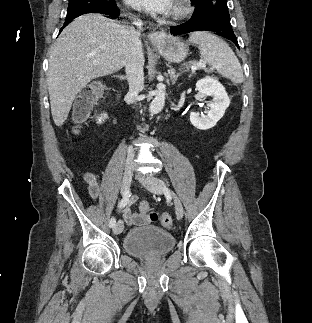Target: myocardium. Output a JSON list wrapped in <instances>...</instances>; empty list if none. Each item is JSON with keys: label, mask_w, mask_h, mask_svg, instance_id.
I'll return each instance as SVG.
<instances>
[{"label": "myocardium", "mask_w": 312, "mask_h": 323, "mask_svg": "<svg viewBox=\"0 0 312 323\" xmlns=\"http://www.w3.org/2000/svg\"><path fill=\"white\" fill-rule=\"evenodd\" d=\"M174 3H170L169 8L171 13H174L173 19L174 21H186L190 19V15H192V8H195V5H192L190 8L189 0H173Z\"/></svg>", "instance_id": "myocardium-1"}]
</instances>
